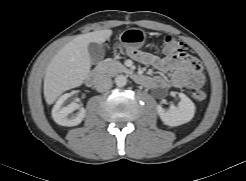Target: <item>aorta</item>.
<instances>
[{"label": "aorta", "mask_w": 246, "mask_h": 181, "mask_svg": "<svg viewBox=\"0 0 246 181\" xmlns=\"http://www.w3.org/2000/svg\"><path fill=\"white\" fill-rule=\"evenodd\" d=\"M115 84L118 87H124L127 84V78L124 75H118L115 78Z\"/></svg>", "instance_id": "762f6f07"}]
</instances>
